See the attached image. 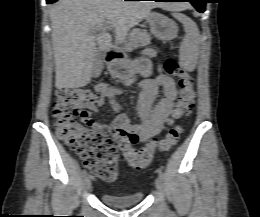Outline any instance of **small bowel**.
<instances>
[{"label": "small bowel", "instance_id": "1", "mask_svg": "<svg viewBox=\"0 0 260 217\" xmlns=\"http://www.w3.org/2000/svg\"><path fill=\"white\" fill-rule=\"evenodd\" d=\"M146 54L151 57L156 55L154 50H147ZM136 79L137 76L133 75L122 82L129 85ZM159 90L162 91V96L157 99ZM95 91L101 96L102 103L105 100L108 101L115 117L108 124L96 123L93 121L90 111H97L98 108L95 105H89L80 111L81 119L93 124L96 128L103 129L114 139L127 137L131 144L146 142L162 131L177 96L174 79L165 73L160 72L155 79L142 81L139 84V98L136 104L138 123H133L129 115L123 111V106L115 99L118 94L122 93L120 88L113 87L108 83H100L95 86Z\"/></svg>", "mask_w": 260, "mask_h": 217}]
</instances>
